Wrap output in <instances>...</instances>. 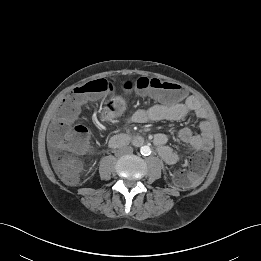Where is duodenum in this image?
I'll return each mask as SVG.
<instances>
[{
	"instance_id": "1",
	"label": "duodenum",
	"mask_w": 261,
	"mask_h": 261,
	"mask_svg": "<svg viewBox=\"0 0 261 261\" xmlns=\"http://www.w3.org/2000/svg\"><path fill=\"white\" fill-rule=\"evenodd\" d=\"M133 142L135 144H143L144 143V138L140 135H131L128 133H119L117 135H114L111 139H110V145L112 147H121V146H125L128 143Z\"/></svg>"
}]
</instances>
